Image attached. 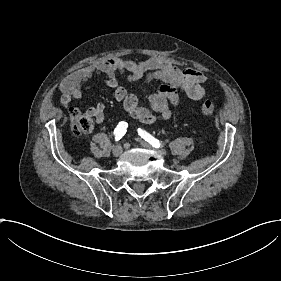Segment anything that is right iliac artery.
<instances>
[{
	"label": "right iliac artery",
	"mask_w": 281,
	"mask_h": 281,
	"mask_svg": "<svg viewBox=\"0 0 281 281\" xmlns=\"http://www.w3.org/2000/svg\"><path fill=\"white\" fill-rule=\"evenodd\" d=\"M128 127V124L126 122H120L117 127L114 130V134H115V140L118 141L120 140L124 134L126 133V128Z\"/></svg>",
	"instance_id": "1"
}]
</instances>
